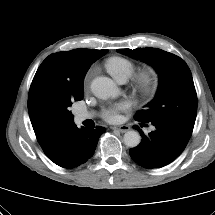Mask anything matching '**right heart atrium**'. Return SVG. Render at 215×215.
<instances>
[{
  "instance_id": "right-heart-atrium-1",
  "label": "right heart atrium",
  "mask_w": 215,
  "mask_h": 215,
  "mask_svg": "<svg viewBox=\"0 0 215 215\" xmlns=\"http://www.w3.org/2000/svg\"><path fill=\"white\" fill-rule=\"evenodd\" d=\"M85 83H86V84L88 83V78H86V81H85Z\"/></svg>"
}]
</instances>
